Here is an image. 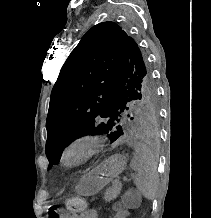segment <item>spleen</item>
<instances>
[{
	"label": "spleen",
	"mask_w": 211,
	"mask_h": 218,
	"mask_svg": "<svg viewBox=\"0 0 211 218\" xmlns=\"http://www.w3.org/2000/svg\"><path fill=\"white\" fill-rule=\"evenodd\" d=\"M132 170L137 172L134 184L147 200H154L158 190L157 162L150 150H136L131 162Z\"/></svg>",
	"instance_id": "obj_1"
}]
</instances>
